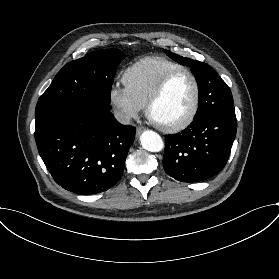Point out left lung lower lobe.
Here are the masks:
<instances>
[{
	"mask_svg": "<svg viewBox=\"0 0 279 279\" xmlns=\"http://www.w3.org/2000/svg\"><path fill=\"white\" fill-rule=\"evenodd\" d=\"M236 116L207 113L181 133L165 136V172L181 182H197L219 173L236 136Z\"/></svg>",
	"mask_w": 279,
	"mask_h": 279,
	"instance_id": "left-lung-lower-lobe-1",
	"label": "left lung lower lobe"
}]
</instances>
